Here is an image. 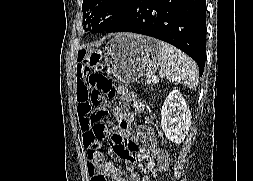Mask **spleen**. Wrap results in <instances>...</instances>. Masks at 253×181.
<instances>
[{"mask_svg":"<svg viewBox=\"0 0 253 181\" xmlns=\"http://www.w3.org/2000/svg\"><path fill=\"white\" fill-rule=\"evenodd\" d=\"M161 52L160 74L169 81L187 85L195 89L199 82L197 64L186 54L172 45L159 41Z\"/></svg>","mask_w":253,"mask_h":181,"instance_id":"3e777b00","label":"spleen"}]
</instances>
